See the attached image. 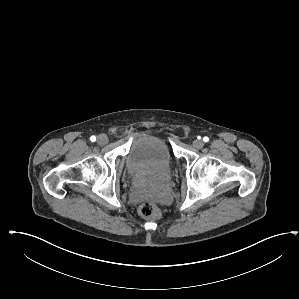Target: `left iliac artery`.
Instances as JSON below:
<instances>
[{"label":"left iliac artery","instance_id":"44dca946","mask_svg":"<svg viewBox=\"0 0 299 299\" xmlns=\"http://www.w3.org/2000/svg\"><path fill=\"white\" fill-rule=\"evenodd\" d=\"M203 141H204V142H208V141H209V138L205 136V137L203 138Z\"/></svg>","mask_w":299,"mask_h":299}]
</instances>
